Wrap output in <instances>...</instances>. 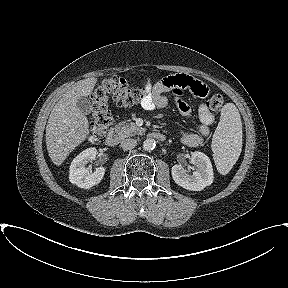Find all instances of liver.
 Wrapping results in <instances>:
<instances>
[{
	"label": "liver",
	"mask_w": 288,
	"mask_h": 288,
	"mask_svg": "<svg viewBox=\"0 0 288 288\" xmlns=\"http://www.w3.org/2000/svg\"><path fill=\"white\" fill-rule=\"evenodd\" d=\"M96 82L95 77L78 81L62 95L51 111L46 126V147L57 166L89 135L88 119L77 107V101L88 97Z\"/></svg>",
	"instance_id": "1"
}]
</instances>
